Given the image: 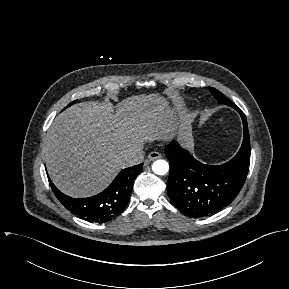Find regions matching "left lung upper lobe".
<instances>
[{"mask_svg":"<svg viewBox=\"0 0 289 289\" xmlns=\"http://www.w3.org/2000/svg\"><path fill=\"white\" fill-rule=\"evenodd\" d=\"M209 90L213 94V96L218 100V102L224 103L228 106H232L235 109L238 108L234 103H232L229 99H227L220 91L211 87H209Z\"/></svg>","mask_w":289,"mask_h":289,"instance_id":"5c2ea615","label":"left lung upper lobe"}]
</instances>
